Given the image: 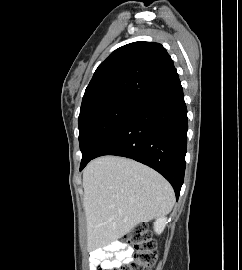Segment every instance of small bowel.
Masks as SVG:
<instances>
[{
    "label": "small bowel",
    "mask_w": 242,
    "mask_h": 270,
    "mask_svg": "<svg viewBox=\"0 0 242 270\" xmlns=\"http://www.w3.org/2000/svg\"><path fill=\"white\" fill-rule=\"evenodd\" d=\"M132 255V248L121 243L114 242L110 244L105 250L93 251L90 262L93 267L101 266V270H114L122 263L130 261Z\"/></svg>",
    "instance_id": "obj_1"
}]
</instances>
